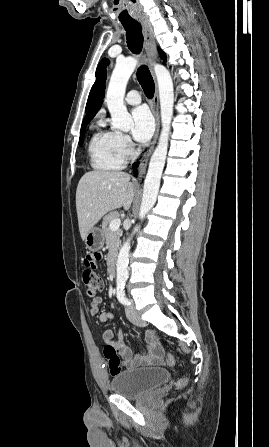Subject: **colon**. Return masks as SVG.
<instances>
[{"instance_id":"5ec220e1","label":"colon","mask_w":269,"mask_h":447,"mask_svg":"<svg viewBox=\"0 0 269 447\" xmlns=\"http://www.w3.org/2000/svg\"><path fill=\"white\" fill-rule=\"evenodd\" d=\"M102 255L99 251H93L92 253L85 254V261L82 270V280L86 288V296L94 298L99 290L103 288V279L96 273V271L103 270V263L100 262ZM103 354L107 360L108 372L112 376H118L121 374L123 368L121 365V359L116 349L110 345L104 346ZM127 356L131 353L127 351ZM163 364L173 365L175 357L170 354L162 359ZM178 387H187L189 381L187 378H178L176 381Z\"/></svg>"}]
</instances>
